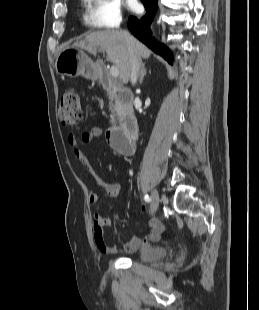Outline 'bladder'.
<instances>
[{"label":"bladder","mask_w":259,"mask_h":310,"mask_svg":"<svg viewBox=\"0 0 259 310\" xmlns=\"http://www.w3.org/2000/svg\"><path fill=\"white\" fill-rule=\"evenodd\" d=\"M168 250L158 245H145L137 253L136 259L140 262L148 263L160 261L167 257Z\"/></svg>","instance_id":"31cf9c89"}]
</instances>
